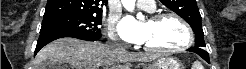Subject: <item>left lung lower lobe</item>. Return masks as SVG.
<instances>
[{
    "mask_svg": "<svg viewBox=\"0 0 246 69\" xmlns=\"http://www.w3.org/2000/svg\"><path fill=\"white\" fill-rule=\"evenodd\" d=\"M187 51L190 52H194L196 54H198L199 56H201L205 61H207L208 63H210L209 61V54L202 48H197V47H191L189 48Z\"/></svg>",
    "mask_w": 246,
    "mask_h": 69,
    "instance_id": "0a47b994",
    "label": "left lung lower lobe"
}]
</instances>
